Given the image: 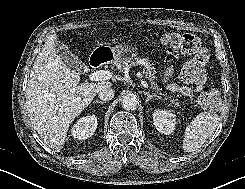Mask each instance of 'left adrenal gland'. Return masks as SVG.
<instances>
[{
  "instance_id": "1",
  "label": "left adrenal gland",
  "mask_w": 245,
  "mask_h": 189,
  "mask_svg": "<svg viewBox=\"0 0 245 189\" xmlns=\"http://www.w3.org/2000/svg\"><path fill=\"white\" fill-rule=\"evenodd\" d=\"M143 93H144V95L147 96V98H146V101H147V102H149V101H150L151 99H153V98L161 99V97L158 96V95H156V94H151V93L146 92V91H143Z\"/></svg>"
}]
</instances>
